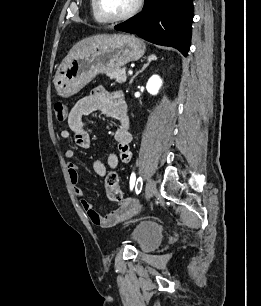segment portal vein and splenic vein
I'll return each mask as SVG.
<instances>
[{
	"label": "portal vein and splenic vein",
	"instance_id": "obj_1",
	"mask_svg": "<svg viewBox=\"0 0 261 306\" xmlns=\"http://www.w3.org/2000/svg\"><path fill=\"white\" fill-rule=\"evenodd\" d=\"M128 74H129V75H132V74H133V71H128Z\"/></svg>",
	"mask_w": 261,
	"mask_h": 306
}]
</instances>
